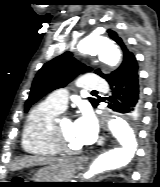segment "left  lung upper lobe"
<instances>
[{"label":"left lung upper lobe","mask_w":160,"mask_h":187,"mask_svg":"<svg viewBox=\"0 0 160 187\" xmlns=\"http://www.w3.org/2000/svg\"><path fill=\"white\" fill-rule=\"evenodd\" d=\"M108 33L109 37L122 49L123 62L116 71L108 75L103 74L100 70L95 71L96 74L105 78L107 81L119 74L126 64L128 58L133 55L132 52L127 50L124 41L117 35L116 32L108 30ZM90 70L92 69L75 60L70 52H65L64 54L49 61L39 70L33 81L29 98L25 104V112L28 111L32 104H34L48 92L66 86V84L69 83L74 77ZM89 100L94 107L97 106L98 101L96 99L90 98Z\"/></svg>","instance_id":"1"}]
</instances>
